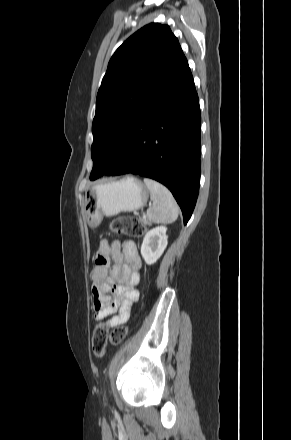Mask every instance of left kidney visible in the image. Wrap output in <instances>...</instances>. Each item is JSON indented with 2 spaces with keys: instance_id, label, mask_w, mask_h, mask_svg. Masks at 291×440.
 <instances>
[{
  "instance_id": "5707ae66",
  "label": "left kidney",
  "mask_w": 291,
  "mask_h": 440,
  "mask_svg": "<svg viewBox=\"0 0 291 440\" xmlns=\"http://www.w3.org/2000/svg\"><path fill=\"white\" fill-rule=\"evenodd\" d=\"M167 228L164 225L149 230L141 245V255L148 265L154 264L167 247Z\"/></svg>"
}]
</instances>
